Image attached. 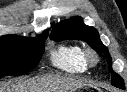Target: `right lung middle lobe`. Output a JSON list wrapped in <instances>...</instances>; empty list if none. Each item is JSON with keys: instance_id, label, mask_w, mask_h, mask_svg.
I'll return each instance as SVG.
<instances>
[{"instance_id": "obj_1", "label": "right lung middle lobe", "mask_w": 127, "mask_h": 92, "mask_svg": "<svg viewBox=\"0 0 127 92\" xmlns=\"http://www.w3.org/2000/svg\"><path fill=\"white\" fill-rule=\"evenodd\" d=\"M48 34L35 39L0 38V78L20 75L34 69L44 52Z\"/></svg>"}]
</instances>
